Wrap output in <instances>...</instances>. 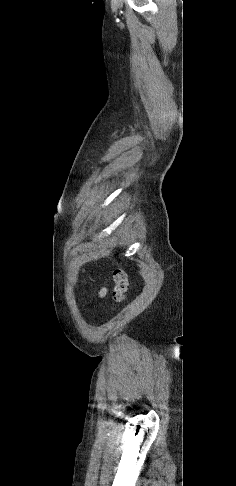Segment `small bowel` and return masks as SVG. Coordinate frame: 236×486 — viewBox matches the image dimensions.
<instances>
[{
    "label": "small bowel",
    "instance_id": "1",
    "mask_svg": "<svg viewBox=\"0 0 236 486\" xmlns=\"http://www.w3.org/2000/svg\"><path fill=\"white\" fill-rule=\"evenodd\" d=\"M106 291H107V290H106V288H105V287H102V288L100 289V291H99V295H100V297H104V296H105V294H106Z\"/></svg>",
    "mask_w": 236,
    "mask_h": 486
}]
</instances>
